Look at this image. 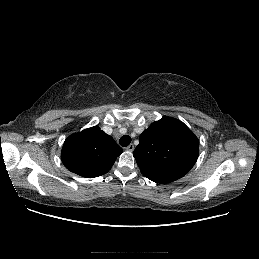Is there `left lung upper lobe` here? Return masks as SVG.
Listing matches in <instances>:
<instances>
[{
    "label": "left lung upper lobe",
    "mask_w": 259,
    "mask_h": 259,
    "mask_svg": "<svg viewBox=\"0 0 259 259\" xmlns=\"http://www.w3.org/2000/svg\"><path fill=\"white\" fill-rule=\"evenodd\" d=\"M199 141L180 120L164 116L139 139L133 155L141 173L151 181L169 183L186 175L198 159Z\"/></svg>",
    "instance_id": "1"
}]
</instances>
